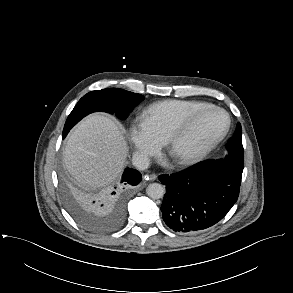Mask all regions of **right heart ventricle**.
Segmentation results:
<instances>
[{"mask_svg":"<svg viewBox=\"0 0 293 293\" xmlns=\"http://www.w3.org/2000/svg\"><path fill=\"white\" fill-rule=\"evenodd\" d=\"M207 105L210 104L198 100H164L147 107L142 117L159 137L166 140L188 115Z\"/></svg>","mask_w":293,"mask_h":293,"instance_id":"right-heart-ventricle-1","label":"right heart ventricle"}]
</instances>
